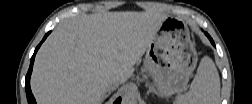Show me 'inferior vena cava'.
<instances>
[{
    "instance_id": "602c4592",
    "label": "inferior vena cava",
    "mask_w": 252,
    "mask_h": 104,
    "mask_svg": "<svg viewBox=\"0 0 252 104\" xmlns=\"http://www.w3.org/2000/svg\"><path fill=\"white\" fill-rule=\"evenodd\" d=\"M122 83L121 79H111L107 84V90L113 91L118 88V86Z\"/></svg>"
}]
</instances>
